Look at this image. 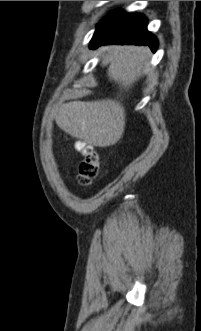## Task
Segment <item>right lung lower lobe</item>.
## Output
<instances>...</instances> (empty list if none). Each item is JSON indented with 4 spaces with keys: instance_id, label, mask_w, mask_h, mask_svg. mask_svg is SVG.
Instances as JSON below:
<instances>
[{
    "instance_id": "right-lung-lower-lobe-1",
    "label": "right lung lower lobe",
    "mask_w": 201,
    "mask_h": 331,
    "mask_svg": "<svg viewBox=\"0 0 201 331\" xmlns=\"http://www.w3.org/2000/svg\"><path fill=\"white\" fill-rule=\"evenodd\" d=\"M113 43L148 45L153 52L158 46L155 36L147 30L145 17L125 11L113 12L97 25L90 48Z\"/></svg>"
}]
</instances>
